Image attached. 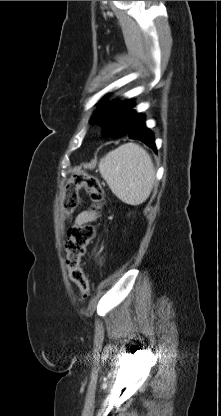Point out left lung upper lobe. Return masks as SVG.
I'll return each mask as SVG.
<instances>
[{"label":"left lung upper lobe","instance_id":"left-lung-upper-lobe-1","mask_svg":"<svg viewBox=\"0 0 221 416\" xmlns=\"http://www.w3.org/2000/svg\"><path fill=\"white\" fill-rule=\"evenodd\" d=\"M131 100H115L111 104L102 107L92 117L90 123H99L103 127V135L115 137L127 135L133 121L135 111Z\"/></svg>","mask_w":221,"mask_h":416}]
</instances>
